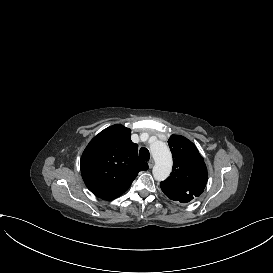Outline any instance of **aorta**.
Wrapping results in <instances>:
<instances>
[{
    "mask_svg": "<svg viewBox=\"0 0 273 273\" xmlns=\"http://www.w3.org/2000/svg\"><path fill=\"white\" fill-rule=\"evenodd\" d=\"M150 151L154 158L155 165L153 167V176L157 181L165 180L172 170V155L166 145L162 141H155L150 145Z\"/></svg>",
    "mask_w": 273,
    "mask_h": 273,
    "instance_id": "762f6f07",
    "label": "aorta"
}]
</instances>
